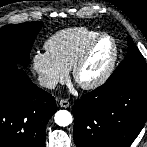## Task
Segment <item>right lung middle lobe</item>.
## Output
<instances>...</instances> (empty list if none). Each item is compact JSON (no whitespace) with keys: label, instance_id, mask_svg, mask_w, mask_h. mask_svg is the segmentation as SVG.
Wrapping results in <instances>:
<instances>
[{"label":"right lung middle lobe","instance_id":"dd1d6c3e","mask_svg":"<svg viewBox=\"0 0 147 147\" xmlns=\"http://www.w3.org/2000/svg\"><path fill=\"white\" fill-rule=\"evenodd\" d=\"M42 26V22L35 21L1 27L0 60L26 65L29 62L31 47Z\"/></svg>","mask_w":147,"mask_h":147}]
</instances>
